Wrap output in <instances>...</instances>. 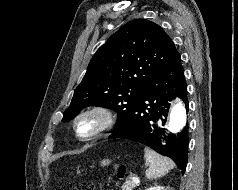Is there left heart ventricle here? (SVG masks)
<instances>
[{"label":"left heart ventricle","mask_w":238,"mask_h":190,"mask_svg":"<svg viewBox=\"0 0 238 190\" xmlns=\"http://www.w3.org/2000/svg\"><path fill=\"white\" fill-rule=\"evenodd\" d=\"M96 126V121L94 119L84 120L80 127L83 132H89Z\"/></svg>","instance_id":"left-heart-ventricle-1"}]
</instances>
